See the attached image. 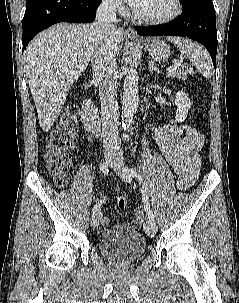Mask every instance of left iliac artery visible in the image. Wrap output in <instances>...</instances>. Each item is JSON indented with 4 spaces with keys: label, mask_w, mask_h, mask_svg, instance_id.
Returning <instances> with one entry per match:
<instances>
[{
    "label": "left iliac artery",
    "mask_w": 239,
    "mask_h": 303,
    "mask_svg": "<svg viewBox=\"0 0 239 303\" xmlns=\"http://www.w3.org/2000/svg\"><path fill=\"white\" fill-rule=\"evenodd\" d=\"M132 173H133V176L136 177L138 179V181L140 182V184L142 185V188H141L142 199H143V203H144V209L148 215V218L150 220L154 221V214H153L152 210L150 209V204H149L148 187L145 184L144 178L140 172H137L133 169H132Z\"/></svg>",
    "instance_id": "1"
}]
</instances>
